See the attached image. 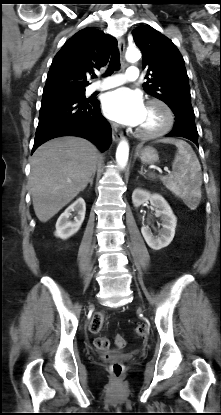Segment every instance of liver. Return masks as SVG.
Segmentation results:
<instances>
[{"mask_svg": "<svg viewBox=\"0 0 221 415\" xmlns=\"http://www.w3.org/2000/svg\"><path fill=\"white\" fill-rule=\"evenodd\" d=\"M100 158L91 142L72 136L52 139L34 152L29 183L41 222L50 220L86 188Z\"/></svg>", "mask_w": 221, "mask_h": 415, "instance_id": "1", "label": "liver"}]
</instances>
